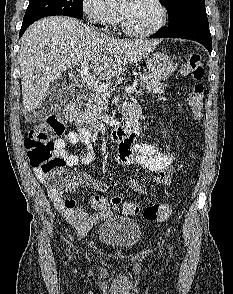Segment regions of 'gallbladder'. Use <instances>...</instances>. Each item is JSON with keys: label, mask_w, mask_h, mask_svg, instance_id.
Here are the masks:
<instances>
[{"label": "gallbladder", "mask_w": 233, "mask_h": 294, "mask_svg": "<svg viewBox=\"0 0 233 294\" xmlns=\"http://www.w3.org/2000/svg\"><path fill=\"white\" fill-rule=\"evenodd\" d=\"M70 93V88L62 81L58 80L52 84L44 101L41 103L42 114L47 116L56 111L69 99Z\"/></svg>", "instance_id": "gallbladder-1"}]
</instances>
